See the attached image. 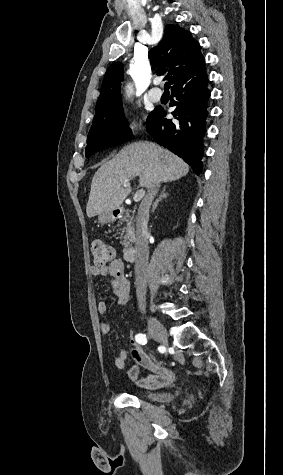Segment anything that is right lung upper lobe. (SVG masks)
<instances>
[{
    "instance_id": "obj_1",
    "label": "right lung upper lobe",
    "mask_w": 283,
    "mask_h": 475,
    "mask_svg": "<svg viewBox=\"0 0 283 475\" xmlns=\"http://www.w3.org/2000/svg\"><path fill=\"white\" fill-rule=\"evenodd\" d=\"M152 69L158 75H166L173 85L184 76L205 67L200 45L191 33L178 25L168 24L161 42L149 51ZM123 77L122 63H115L107 69L96 108L121 105L120 86Z\"/></svg>"
}]
</instances>
